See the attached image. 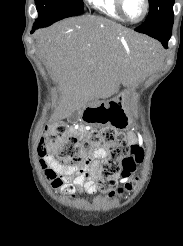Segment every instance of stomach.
<instances>
[{
  "mask_svg": "<svg viewBox=\"0 0 183 246\" xmlns=\"http://www.w3.org/2000/svg\"><path fill=\"white\" fill-rule=\"evenodd\" d=\"M126 97L127 91L109 100L103 109H100L103 123L109 124L114 128H126L129 125L130 119L124 106Z\"/></svg>",
  "mask_w": 183,
  "mask_h": 246,
  "instance_id": "0dacf381",
  "label": "stomach"
}]
</instances>
